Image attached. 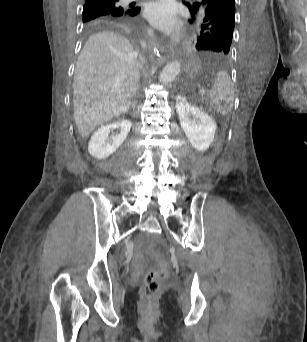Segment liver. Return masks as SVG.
<instances>
[{
	"mask_svg": "<svg viewBox=\"0 0 307 342\" xmlns=\"http://www.w3.org/2000/svg\"><path fill=\"white\" fill-rule=\"evenodd\" d=\"M139 80L136 54L125 36L98 32L87 40L73 80L74 120L82 138L129 110Z\"/></svg>",
	"mask_w": 307,
	"mask_h": 342,
	"instance_id": "obj_1",
	"label": "liver"
}]
</instances>
